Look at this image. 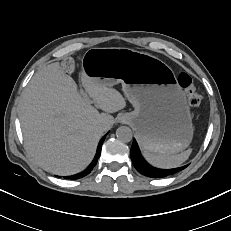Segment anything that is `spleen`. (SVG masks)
Returning <instances> with one entry per match:
<instances>
[{"mask_svg": "<svg viewBox=\"0 0 231 231\" xmlns=\"http://www.w3.org/2000/svg\"><path fill=\"white\" fill-rule=\"evenodd\" d=\"M192 149H188L184 152L175 155H167V154H154L145 151L144 157L145 159L153 166L163 169H170L179 167L182 163H184L190 156Z\"/></svg>", "mask_w": 231, "mask_h": 231, "instance_id": "spleen-1", "label": "spleen"}]
</instances>
